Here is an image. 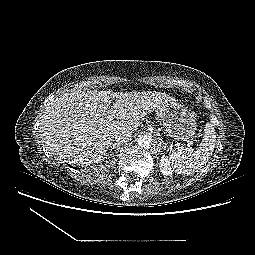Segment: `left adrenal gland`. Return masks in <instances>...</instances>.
<instances>
[{
    "label": "left adrenal gland",
    "mask_w": 255,
    "mask_h": 255,
    "mask_svg": "<svg viewBox=\"0 0 255 255\" xmlns=\"http://www.w3.org/2000/svg\"><path fill=\"white\" fill-rule=\"evenodd\" d=\"M158 146H159V148L166 149L167 144L160 138Z\"/></svg>",
    "instance_id": "obj_1"
}]
</instances>
